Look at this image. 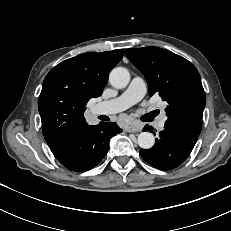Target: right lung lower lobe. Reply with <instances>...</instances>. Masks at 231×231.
Instances as JSON below:
<instances>
[{
  "mask_svg": "<svg viewBox=\"0 0 231 231\" xmlns=\"http://www.w3.org/2000/svg\"><path fill=\"white\" fill-rule=\"evenodd\" d=\"M121 132L114 122L87 125L72 133L53 154L69 170L83 172L104 158L109 149V139Z\"/></svg>",
  "mask_w": 231,
  "mask_h": 231,
  "instance_id": "1",
  "label": "right lung lower lobe"
}]
</instances>
